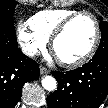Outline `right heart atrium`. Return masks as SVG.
Segmentation results:
<instances>
[{"mask_svg":"<svg viewBox=\"0 0 108 108\" xmlns=\"http://www.w3.org/2000/svg\"><path fill=\"white\" fill-rule=\"evenodd\" d=\"M17 38L22 50L29 56H34L42 51L47 40L30 30L27 23L21 22L17 26Z\"/></svg>","mask_w":108,"mask_h":108,"instance_id":"d8ad5b80","label":"right heart atrium"}]
</instances>
